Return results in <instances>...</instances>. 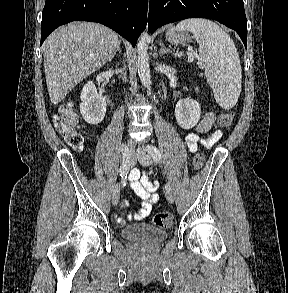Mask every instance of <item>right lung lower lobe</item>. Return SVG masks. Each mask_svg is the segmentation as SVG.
Returning <instances> with one entry per match:
<instances>
[{
  "mask_svg": "<svg viewBox=\"0 0 288 293\" xmlns=\"http://www.w3.org/2000/svg\"><path fill=\"white\" fill-rule=\"evenodd\" d=\"M147 7V0H46L40 45L60 25L82 20L104 24L135 46L146 26Z\"/></svg>",
  "mask_w": 288,
  "mask_h": 293,
  "instance_id": "obj_1",
  "label": "right lung lower lobe"
}]
</instances>
